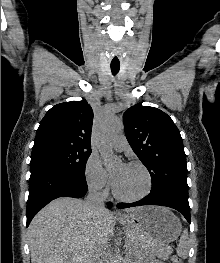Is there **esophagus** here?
<instances>
[{"label":"esophagus","instance_id":"obj_1","mask_svg":"<svg viewBox=\"0 0 220 263\" xmlns=\"http://www.w3.org/2000/svg\"><path fill=\"white\" fill-rule=\"evenodd\" d=\"M115 214H116V215H119V213H118L117 211L115 212Z\"/></svg>","mask_w":220,"mask_h":263}]
</instances>
